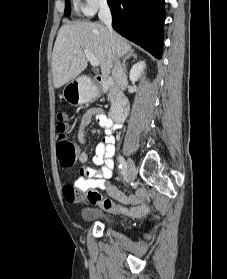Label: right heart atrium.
Wrapping results in <instances>:
<instances>
[{
	"label": "right heart atrium",
	"mask_w": 227,
	"mask_h": 279,
	"mask_svg": "<svg viewBox=\"0 0 227 279\" xmlns=\"http://www.w3.org/2000/svg\"><path fill=\"white\" fill-rule=\"evenodd\" d=\"M77 6L81 9L85 14L92 15L99 8L106 5L107 0H76Z\"/></svg>",
	"instance_id": "1"
}]
</instances>
